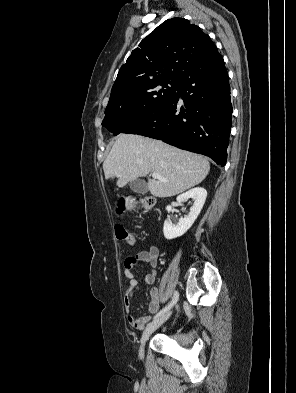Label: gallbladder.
Masks as SVG:
<instances>
[{"label":"gallbladder","instance_id":"bac80fb5","mask_svg":"<svg viewBox=\"0 0 296 393\" xmlns=\"http://www.w3.org/2000/svg\"><path fill=\"white\" fill-rule=\"evenodd\" d=\"M129 186L135 193L146 194L149 191L147 184L141 179L131 181Z\"/></svg>","mask_w":296,"mask_h":393}]
</instances>
